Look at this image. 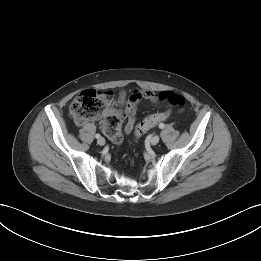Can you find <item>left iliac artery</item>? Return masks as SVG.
Masks as SVG:
<instances>
[{"label":"left iliac artery","instance_id":"obj_1","mask_svg":"<svg viewBox=\"0 0 261 261\" xmlns=\"http://www.w3.org/2000/svg\"><path fill=\"white\" fill-rule=\"evenodd\" d=\"M159 128H160V129H163V128H164V124H163V123H160V124H159Z\"/></svg>","mask_w":261,"mask_h":261}]
</instances>
